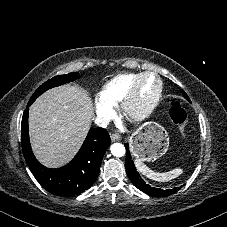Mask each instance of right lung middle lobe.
Here are the masks:
<instances>
[{"label":"right lung middle lobe","mask_w":227,"mask_h":227,"mask_svg":"<svg viewBox=\"0 0 227 227\" xmlns=\"http://www.w3.org/2000/svg\"><path fill=\"white\" fill-rule=\"evenodd\" d=\"M79 78L78 73H69L66 75H59L51 78L50 80L46 81L42 84L32 95L29 100V103L32 104L37 97H39L43 92L47 91L50 88L62 85L64 83H68L74 81Z\"/></svg>","instance_id":"right-lung-middle-lobe-1"}]
</instances>
